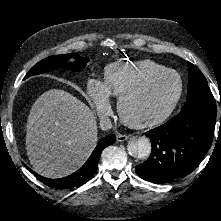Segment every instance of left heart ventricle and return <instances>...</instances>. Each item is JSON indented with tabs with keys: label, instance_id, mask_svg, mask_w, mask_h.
I'll return each instance as SVG.
<instances>
[{
	"label": "left heart ventricle",
	"instance_id": "1",
	"mask_svg": "<svg viewBox=\"0 0 221 221\" xmlns=\"http://www.w3.org/2000/svg\"><path fill=\"white\" fill-rule=\"evenodd\" d=\"M178 79L170 74L157 80L147 91L128 103V112L136 118L153 116L166 108L178 91Z\"/></svg>",
	"mask_w": 221,
	"mask_h": 221
}]
</instances>
